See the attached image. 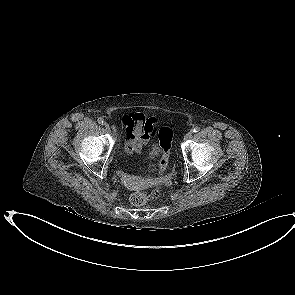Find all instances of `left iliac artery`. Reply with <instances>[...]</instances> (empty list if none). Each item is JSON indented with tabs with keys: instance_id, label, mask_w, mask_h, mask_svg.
<instances>
[{
	"instance_id": "44dca946",
	"label": "left iliac artery",
	"mask_w": 295,
	"mask_h": 295,
	"mask_svg": "<svg viewBox=\"0 0 295 295\" xmlns=\"http://www.w3.org/2000/svg\"><path fill=\"white\" fill-rule=\"evenodd\" d=\"M200 131V127H198V126H196L194 129H193V132L194 133H197V132H199Z\"/></svg>"
}]
</instances>
